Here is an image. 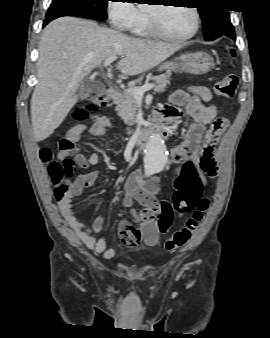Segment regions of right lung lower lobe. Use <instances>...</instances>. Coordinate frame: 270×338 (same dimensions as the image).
Returning <instances> with one entry per match:
<instances>
[{"mask_svg": "<svg viewBox=\"0 0 270 338\" xmlns=\"http://www.w3.org/2000/svg\"><path fill=\"white\" fill-rule=\"evenodd\" d=\"M54 18H47V19H45V21H44V24H43V27L46 25V24H48L51 20H53Z\"/></svg>", "mask_w": 270, "mask_h": 338, "instance_id": "1", "label": "right lung lower lobe"}]
</instances>
